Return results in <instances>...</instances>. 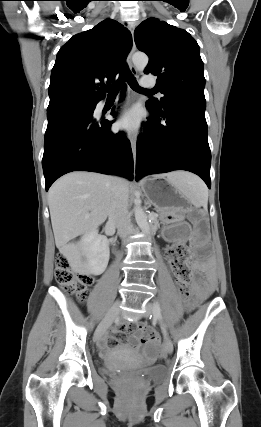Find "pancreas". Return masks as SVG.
Segmentation results:
<instances>
[{
    "instance_id": "1",
    "label": "pancreas",
    "mask_w": 261,
    "mask_h": 427,
    "mask_svg": "<svg viewBox=\"0 0 261 427\" xmlns=\"http://www.w3.org/2000/svg\"><path fill=\"white\" fill-rule=\"evenodd\" d=\"M152 218H153V220H154V222L155 223H157L158 221H157V218H158V214H152Z\"/></svg>"
}]
</instances>
